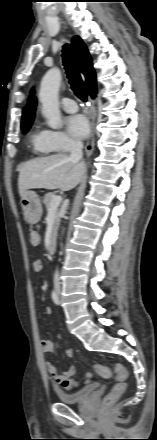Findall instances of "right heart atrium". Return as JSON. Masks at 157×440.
<instances>
[{
	"instance_id": "obj_1",
	"label": "right heart atrium",
	"mask_w": 157,
	"mask_h": 440,
	"mask_svg": "<svg viewBox=\"0 0 157 440\" xmlns=\"http://www.w3.org/2000/svg\"><path fill=\"white\" fill-rule=\"evenodd\" d=\"M48 141L56 151H67L77 145V141L63 131L48 130Z\"/></svg>"
}]
</instances>
